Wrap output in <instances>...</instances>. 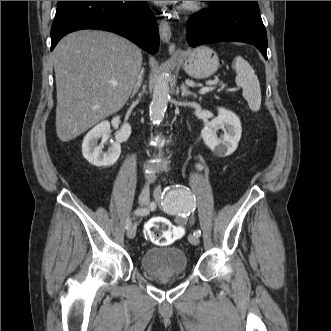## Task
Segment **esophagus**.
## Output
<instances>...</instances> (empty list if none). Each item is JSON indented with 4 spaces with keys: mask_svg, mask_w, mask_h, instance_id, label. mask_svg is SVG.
<instances>
[{
    "mask_svg": "<svg viewBox=\"0 0 331 331\" xmlns=\"http://www.w3.org/2000/svg\"><path fill=\"white\" fill-rule=\"evenodd\" d=\"M159 32L161 40L169 45V52L173 53L175 51V45L171 43L172 31L169 23L164 20L160 21Z\"/></svg>",
    "mask_w": 331,
    "mask_h": 331,
    "instance_id": "obj_1",
    "label": "esophagus"
}]
</instances>
